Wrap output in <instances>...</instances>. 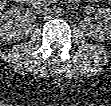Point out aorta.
<instances>
[{"mask_svg": "<svg viewBox=\"0 0 111 106\" xmlns=\"http://www.w3.org/2000/svg\"><path fill=\"white\" fill-rule=\"evenodd\" d=\"M56 14H57L58 16H62V15L64 14L63 8H57V9H56Z\"/></svg>", "mask_w": 111, "mask_h": 106, "instance_id": "1", "label": "aorta"}]
</instances>
